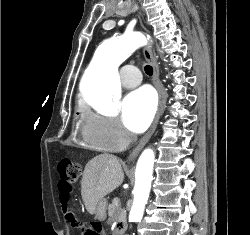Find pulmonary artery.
<instances>
[{
  "label": "pulmonary artery",
  "instance_id": "e3ab8cb5",
  "mask_svg": "<svg viewBox=\"0 0 250 235\" xmlns=\"http://www.w3.org/2000/svg\"><path fill=\"white\" fill-rule=\"evenodd\" d=\"M141 82L139 69L134 65H125L122 68L121 83L125 88H133Z\"/></svg>",
  "mask_w": 250,
  "mask_h": 235
}]
</instances>
